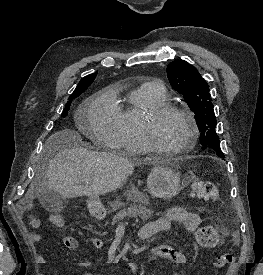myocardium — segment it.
I'll list each match as a JSON object with an SVG mask.
<instances>
[{"label":"myocardium","instance_id":"obj_1","mask_svg":"<svg viewBox=\"0 0 263 275\" xmlns=\"http://www.w3.org/2000/svg\"><path fill=\"white\" fill-rule=\"evenodd\" d=\"M179 115L186 119L189 125V134L186 141L176 149H164L156 144L153 138L154 122L167 115ZM141 133L148 151L162 156H176L191 149L198 138L199 127L194 115L187 109L172 104H162L146 112L141 122Z\"/></svg>","mask_w":263,"mask_h":275}]
</instances>
